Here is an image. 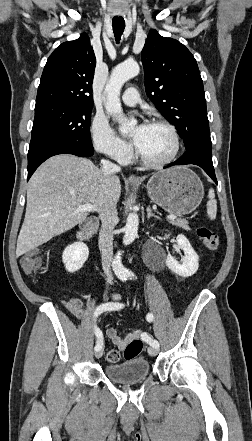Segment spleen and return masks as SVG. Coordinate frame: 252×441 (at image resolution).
I'll use <instances>...</instances> for the list:
<instances>
[{
    "label": "spleen",
    "instance_id": "3e777b00",
    "mask_svg": "<svg viewBox=\"0 0 252 441\" xmlns=\"http://www.w3.org/2000/svg\"><path fill=\"white\" fill-rule=\"evenodd\" d=\"M208 202H207V215L211 220L216 218L217 214V201L215 199L214 189H210L208 192Z\"/></svg>",
    "mask_w": 252,
    "mask_h": 441
}]
</instances>
